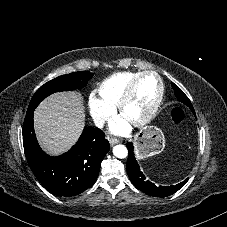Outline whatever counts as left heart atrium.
Listing matches in <instances>:
<instances>
[{"instance_id":"left-heart-atrium-1","label":"left heart atrium","mask_w":227,"mask_h":227,"mask_svg":"<svg viewBox=\"0 0 227 227\" xmlns=\"http://www.w3.org/2000/svg\"><path fill=\"white\" fill-rule=\"evenodd\" d=\"M110 130L116 134H124L129 130V124L123 120H117L110 124Z\"/></svg>"}]
</instances>
